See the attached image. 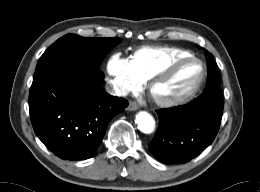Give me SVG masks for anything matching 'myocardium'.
Instances as JSON below:
<instances>
[{"label": "myocardium", "mask_w": 260, "mask_h": 192, "mask_svg": "<svg viewBox=\"0 0 260 192\" xmlns=\"http://www.w3.org/2000/svg\"><path fill=\"white\" fill-rule=\"evenodd\" d=\"M191 63L199 65L200 74H199L197 81L194 83V85L190 89H188L187 91H185L184 93H182L178 96L167 98V99H162V98H159L154 95L153 89L158 83H160L161 81L168 78L179 67H181L185 64H191ZM205 76H206L205 67L199 59L193 58V57L182 58V59H179V60L171 63L169 66H167L166 68H164L163 70H161L160 72H158L157 74L152 76L149 79V82L147 85V91H148L149 96L152 98V100L157 105H160V106L175 105V104L181 103V102L189 99L190 97H192L200 89L202 83L205 80Z\"/></svg>", "instance_id": "1"}]
</instances>
